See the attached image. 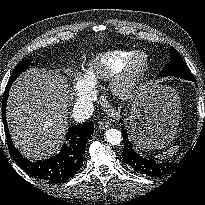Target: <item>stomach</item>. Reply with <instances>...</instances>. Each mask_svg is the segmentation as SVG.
Masks as SVG:
<instances>
[{
  "instance_id": "stomach-1",
  "label": "stomach",
  "mask_w": 205,
  "mask_h": 205,
  "mask_svg": "<svg viewBox=\"0 0 205 205\" xmlns=\"http://www.w3.org/2000/svg\"><path fill=\"white\" fill-rule=\"evenodd\" d=\"M179 97L166 86H142L132 105L130 131L143 149H161L174 138L179 126Z\"/></svg>"
}]
</instances>
